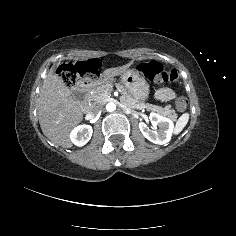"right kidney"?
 <instances>
[{
	"instance_id": "1",
	"label": "right kidney",
	"mask_w": 236,
	"mask_h": 236,
	"mask_svg": "<svg viewBox=\"0 0 236 236\" xmlns=\"http://www.w3.org/2000/svg\"><path fill=\"white\" fill-rule=\"evenodd\" d=\"M93 129L90 125H79L75 127L70 133V139L78 147L84 146L90 139Z\"/></svg>"
}]
</instances>
